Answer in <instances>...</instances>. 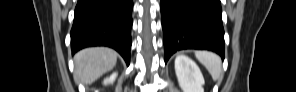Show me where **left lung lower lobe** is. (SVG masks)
I'll use <instances>...</instances> for the list:
<instances>
[{"instance_id": "1", "label": "left lung lower lobe", "mask_w": 296, "mask_h": 92, "mask_svg": "<svg viewBox=\"0 0 296 92\" xmlns=\"http://www.w3.org/2000/svg\"><path fill=\"white\" fill-rule=\"evenodd\" d=\"M165 62L182 49H206L224 58L220 0H161Z\"/></svg>"}]
</instances>
